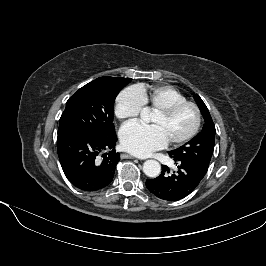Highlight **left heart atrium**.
Returning a JSON list of instances; mask_svg holds the SVG:
<instances>
[{
    "label": "left heart atrium",
    "mask_w": 266,
    "mask_h": 266,
    "mask_svg": "<svg viewBox=\"0 0 266 266\" xmlns=\"http://www.w3.org/2000/svg\"><path fill=\"white\" fill-rule=\"evenodd\" d=\"M120 141L126 151L141 157L164 148L169 142L158 126L142 125L137 122L122 127Z\"/></svg>",
    "instance_id": "obj_1"
}]
</instances>
